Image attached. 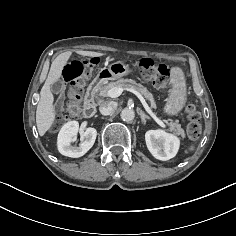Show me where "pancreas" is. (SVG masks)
Instances as JSON below:
<instances>
[{
    "label": "pancreas",
    "mask_w": 236,
    "mask_h": 236,
    "mask_svg": "<svg viewBox=\"0 0 236 236\" xmlns=\"http://www.w3.org/2000/svg\"><path fill=\"white\" fill-rule=\"evenodd\" d=\"M119 87L123 89H134L140 92L142 95L145 96L150 102L153 107H155V102L153 99V95L141 84L136 83L134 80L131 79H120L115 82H111L108 85L99 87V95L107 96V91L111 88ZM170 131L174 134L181 136L182 138L185 137L184 130L181 128L178 121L171 122L170 124Z\"/></svg>",
    "instance_id": "cf45deb5"
}]
</instances>
